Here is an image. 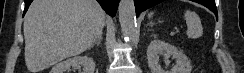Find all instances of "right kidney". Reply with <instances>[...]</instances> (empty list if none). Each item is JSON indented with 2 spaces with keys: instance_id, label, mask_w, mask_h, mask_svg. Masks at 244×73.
Returning <instances> with one entry per match:
<instances>
[{
  "instance_id": "obj_1",
  "label": "right kidney",
  "mask_w": 244,
  "mask_h": 73,
  "mask_svg": "<svg viewBox=\"0 0 244 73\" xmlns=\"http://www.w3.org/2000/svg\"><path fill=\"white\" fill-rule=\"evenodd\" d=\"M80 66H83V73H94L95 62L87 56H76L60 62L52 67L50 73H65L71 67L78 69Z\"/></svg>"
}]
</instances>
